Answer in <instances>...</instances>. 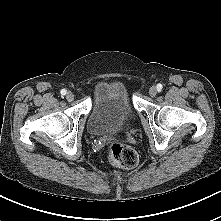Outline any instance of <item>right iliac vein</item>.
<instances>
[{"mask_svg":"<svg viewBox=\"0 0 221 221\" xmlns=\"http://www.w3.org/2000/svg\"><path fill=\"white\" fill-rule=\"evenodd\" d=\"M66 99H67L68 101H72V100L74 99L73 93H72V92H68V93L66 94Z\"/></svg>","mask_w":221,"mask_h":221,"instance_id":"right-iliac-vein-1","label":"right iliac vein"}]
</instances>
